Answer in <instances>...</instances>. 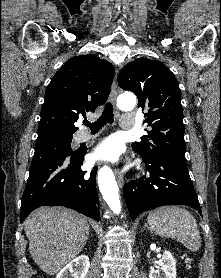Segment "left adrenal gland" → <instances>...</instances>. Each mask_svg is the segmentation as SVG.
<instances>
[{"mask_svg": "<svg viewBox=\"0 0 221 278\" xmlns=\"http://www.w3.org/2000/svg\"><path fill=\"white\" fill-rule=\"evenodd\" d=\"M147 227H148V226L145 224V225H144V229L147 228Z\"/></svg>", "mask_w": 221, "mask_h": 278, "instance_id": "left-adrenal-gland-1", "label": "left adrenal gland"}]
</instances>
